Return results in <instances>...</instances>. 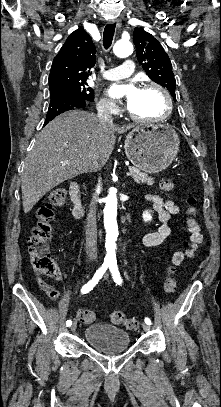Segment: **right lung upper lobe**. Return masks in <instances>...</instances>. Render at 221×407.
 <instances>
[{"instance_id":"1","label":"right lung upper lobe","mask_w":221,"mask_h":407,"mask_svg":"<svg viewBox=\"0 0 221 407\" xmlns=\"http://www.w3.org/2000/svg\"><path fill=\"white\" fill-rule=\"evenodd\" d=\"M96 48L83 28L69 35L54 58L49 76L50 90L86 82L95 65Z\"/></svg>"}]
</instances>
